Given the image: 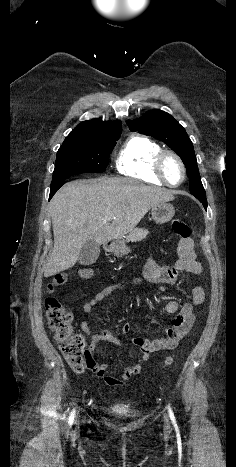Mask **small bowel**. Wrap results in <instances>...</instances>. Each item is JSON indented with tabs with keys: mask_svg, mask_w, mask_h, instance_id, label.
<instances>
[{
	"mask_svg": "<svg viewBox=\"0 0 236 467\" xmlns=\"http://www.w3.org/2000/svg\"><path fill=\"white\" fill-rule=\"evenodd\" d=\"M178 255L179 257L177 261L171 266L160 265L156 263L152 257H148L145 260L143 267L145 281L137 280L132 286H138L143 283L150 285L173 283L180 279L184 273L199 275L203 272L201 264L196 260L195 243L192 240L185 239L180 241L178 244ZM127 289L128 287L119 284L107 285L96 293L93 298L83 304V311L85 313H91L107 296L118 290ZM191 298L192 303H184L181 306L175 300H171L166 303L165 311L171 314L177 313V316L168 327L165 337L157 338L152 341L141 337L132 338L131 341L135 346L139 347L141 356L136 363L123 370L120 378L112 376L108 372V366L106 364L98 363L93 357L92 363L89 366L90 370L110 386L120 385L122 384V381L128 380L139 374L141 372L142 365L148 360L151 353L174 349L178 345L179 341L189 332L194 322L193 305H200L204 302V289L199 285L194 286L191 291ZM80 328L90 337L89 349L91 352L97 350L102 342L120 345L118 340L110 333V331L106 329L93 331L86 320H82L80 322ZM121 330L124 334H128L131 330V324H122Z\"/></svg>",
	"mask_w": 236,
	"mask_h": 467,
	"instance_id": "1",
	"label": "small bowel"
}]
</instances>
